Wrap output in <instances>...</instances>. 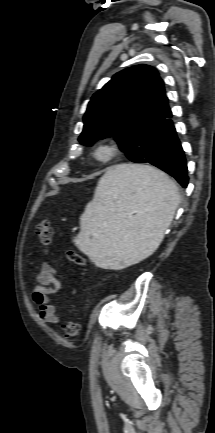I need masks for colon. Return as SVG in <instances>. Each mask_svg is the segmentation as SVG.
I'll list each match as a JSON object with an SVG mask.
<instances>
[{"mask_svg": "<svg viewBox=\"0 0 215 433\" xmlns=\"http://www.w3.org/2000/svg\"><path fill=\"white\" fill-rule=\"evenodd\" d=\"M35 235L38 238L41 246L47 250L52 243L53 229L50 221L44 218L35 228ZM67 258L70 262L83 266L85 259L75 250L67 252ZM80 332V324L75 321H68L63 325V333L67 338L75 337Z\"/></svg>", "mask_w": 215, "mask_h": 433, "instance_id": "colon-1", "label": "colon"}]
</instances>
